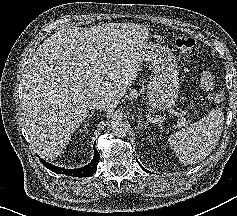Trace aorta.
<instances>
[{
  "label": "aorta",
  "mask_w": 237,
  "mask_h": 216,
  "mask_svg": "<svg viewBox=\"0 0 237 216\" xmlns=\"http://www.w3.org/2000/svg\"><path fill=\"white\" fill-rule=\"evenodd\" d=\"M111 131L114 136L122 138L127 135L128 125L126 122L117 118L112 124Z\"/></svg>",
  "instance_id": "obj_1"
}]
</instances>
